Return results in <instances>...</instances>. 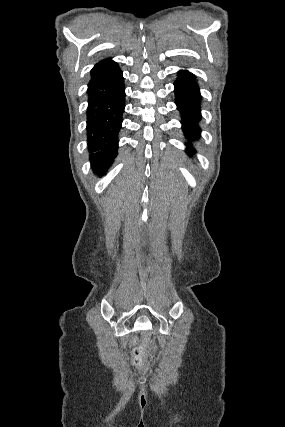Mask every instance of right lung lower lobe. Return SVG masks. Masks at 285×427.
<instances>
[{"mask_svg":"<svg viewBox=\"0 0 285 427\" xmlns=\"http://www.w3.org/2000/svg\"><path fill=\"white\" fill-rule=\"evenodd\" d=\"M87 92L88 150L92 170L101 176L117 156L118 135L125 107L122 71L92 79Z\"/></svg>","mask_w":285,"mask_h":427,"instance_id":"98d812e1","label":"right lung lower lobe"}]
</instances>
